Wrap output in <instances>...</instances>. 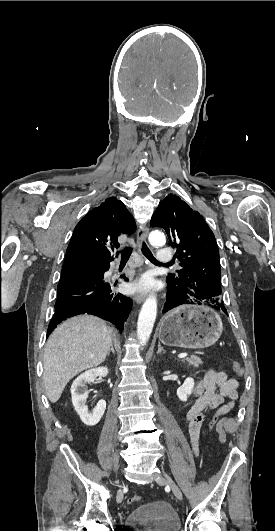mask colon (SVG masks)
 <instances>
[{"mask_svg":"<svg viewBox=\"0 0 275 531\" xmlns=\"http://www.w3.org/2000/svg\"><path fill=\"white\" fill-rule=\"evenodd\" d=\"M233 369L235 371V373L239 376H241L243 374V368L242 366L240 365L239 362H233ZM219 418V415H216V417H211L209 419V422L207 424V429H206V432L208 435H212L214 434L215 430L217 429L218 427V419ZM140 500V496L139 495H134L132 496L128 502L130 504H133V503H136L137 501Z\"/></svg>","mask_w":275,"mask_h":531,"instance_id":"obj_1","label":"colon"}]
</instances>
